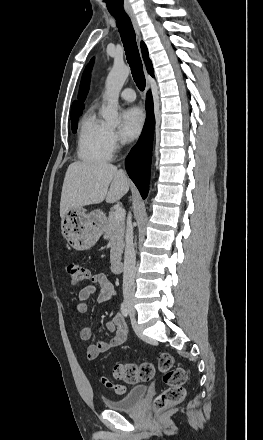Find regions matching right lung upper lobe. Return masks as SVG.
<instances>
[{
  "label": "right lung upper lobe",
  "instance_id": "obj_1",
  "mask_svg": "<svg viewBox=\"0 0 263 440\" xmlns=\"http://www.w3.org/2000/svg\"><path fill=\"white\" fill-rule=\"evenodd\" d=\"M141 49H142V54H143V58L147 67V71L148 73L154 77V70L152 67V63L149 59L148 56V51L146 48V45L141 42ZM94 63V58L91 59L89 65L86 67L82 79H81V84H80V89H79V94H78V100L80 101V104L77 101H74L72 104V109H71V118L77 116V115H81L82 113V109H83V102L86 99V96L88 94V90H89V83H90V72L92 69Z\"/></svg>",
  "mask_w": 263,
  "mask_h": 440
}]
</instances>
